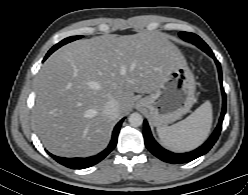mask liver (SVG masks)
Returning <instances> with one entry per match:
<instances>
[{"label":"liver","instance_id":"liver-1","mask_svg":"<svg viewBox=\"0 0 248 195\" xmlns=\"http://www.w3.org/2000/svg\"><path fill=\"white\" fill-rule=\"evenodd\" d=\"M184 59L157 32L102 35L55 51L36 79L33 119L44 147L62 157H88L106 148L117 119L103 113L106 102L127 114L134 93H152L169 65Z\"/></svg>","mask_w":248,"mask_h":195}]
</instances>
